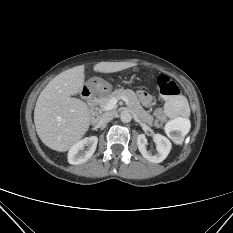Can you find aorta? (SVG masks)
Here are the masks:
<instances>
[{
  "instance_id": "aorta-1",
  "label": "aorta",
  "mask_w": 233,
  "mask_h": 233,
  "mask_svg": "<svg viewBox=\"0 0 233 233\" xmlns=\"http://www.w3.org/2000/svg\"><path fill=\"white\" fill-rule=\"evenodd\" d=\"M120 119H121L122 122L128 123V122L131 121L132 116L127 110H123L120 113Z\"/></svg>"
}]
</instances>
